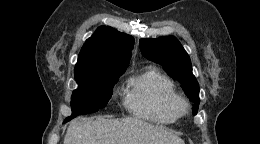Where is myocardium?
<instances>
[{
    "label": "myocardium",
    "mask_w": 260,
    "mask_h": 144,
    "mask_svg": "<svg viewBox=\"0 0 260 144\" xmlns=\"http://www.w3.org/2000/svg\"><path fill=\"white\" fill-rule=\"evenodd\" d=\"M188 108H189L188 102L181 97L178 100H176V102L174 103V110L179 115V117L185 116L188 113Z\"/></svg>",
    "instance_id": "1"
}]
</instances>
